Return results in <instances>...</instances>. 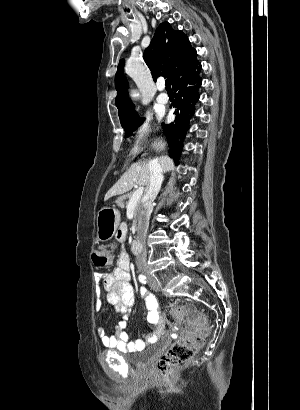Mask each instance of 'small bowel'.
I'll use <instances>...</instances> for the list:
<instances>
[{"instance_id":"1","label":"small bowel","mask_w":300,"mask_h":410,"mask_svg":"<svg viewBox=\"0 0 300 410\" xmlns=\"http://www.w3.org/2000/svg\"><path fill=\"white\" fill-rule=\"evenodd\" d=\"M120 240H124V236H121ZM98 277L103 289L107 292L108 302L121 316L113 334H107L104 327L98 328L97 332L103 346L131 353L141 350L146 343L155 342L164 335L166 317L160 310L157 297L144 288L140 290V296L147 308V321L155 328L139 340H132L126 332L129 316L135 303V290L131 284L130 258L126 251L119 254L117 267L112 272ZM102 308L103 303L100 300L97 301L96 309L100 311Z\"/></svg>"}]
</instances>
